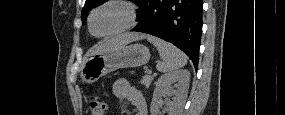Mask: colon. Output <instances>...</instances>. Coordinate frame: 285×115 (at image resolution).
<instances>
[{
    "instance_id": "5ec220e1",
    "label": "colon",
    "mask_w": 285,
    "mask_h": 115,
    "mask_svg": "<svg viewBox=\"0 0 285 115\" xmlns=\"http://www.w3.org/2000/svg\"><path fill=\"white\" fill-rule=\"evenodd\" d=\"M88 111L91 115H104L106 104L98 98H92L88 103Z\"/></svg>"
}]
</instances>
